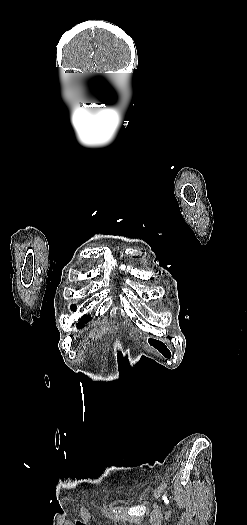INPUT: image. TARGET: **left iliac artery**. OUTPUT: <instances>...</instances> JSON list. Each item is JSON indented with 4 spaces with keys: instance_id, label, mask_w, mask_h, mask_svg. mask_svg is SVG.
<instances>
[{
    "instance_id": "obj_1",
    "label": "left iliac artery",
    "mask_w": 247,
    "mask_h": 525,
    "mask_svg": "<svg viewBox=\"0 0 247 525\" xmlns=\"http://www.w3.org/2000/svg\"><path fill=\"white\" fill-rule=\"evenodd\" d=\"M163 500H164V502H165L166 504L169 503V501H168V499H167V497H166L165 495H163Z\"/></svg>"
}]
</instances>
